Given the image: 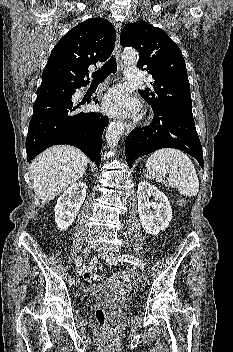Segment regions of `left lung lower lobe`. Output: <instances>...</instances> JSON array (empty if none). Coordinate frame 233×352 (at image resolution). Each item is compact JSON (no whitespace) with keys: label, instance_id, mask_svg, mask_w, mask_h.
<instances>
[{"label":"left lung lower lobe","instance_id":"left-lung-lower-lobe-1","mask_svg":"<svg viewBox=\"0 0 233 352\" xmlns=\"http://www.w3.org/2000/svg\"><path fill=\"white\" fill-rule=\"evenodd\" d=\"M151 125L137 127L125 140L128 166L131 168L138 157L161 148H176L193 156L203 168L202 146L194 119L166 109L153 108Z\"/></svg>","mask_w":233,"mask_h":352}]
</instances>
